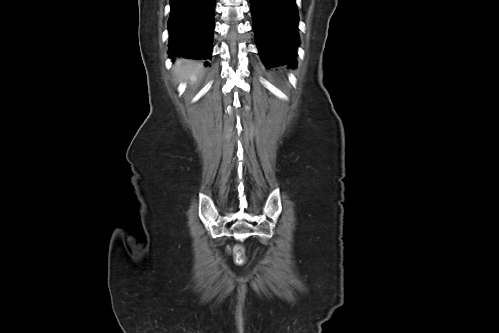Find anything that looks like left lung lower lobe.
<instances>
[{"mask_svg":"<svg viewBox=\"0 0 499 333\" xmlns=\"http://www.w3.org/2000/svg\"><path fill=\"white\" fill-rule=\"evenodd\" d=\"M256 43L267 67L295 65L298 11L295 0H250Z\"/></svg>","mask_w":499,"mask_h":333,"instance_id":"1","label":"left lung lower lobe"}]
</instances>
